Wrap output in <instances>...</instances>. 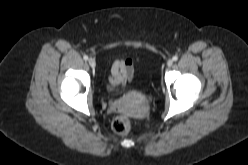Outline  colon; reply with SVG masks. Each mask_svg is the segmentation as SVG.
I'll use <instances>...</instances> for the list:
<instances>
[{
  "mask_svg": "<svg viewBox=\"0 0 248 165\" xmlns=\"http://www.w3.org/2000/svg\"><path fill=\"white\" fill-rule=\"evenodd\" d=\"M113 130L120 135H126L131 130V121L126 115H118L112 122Z\"/></svg>",
  "mask_w": 248,
  "mask_h": 165,
  "instance_id": "obj_1",
  "label": "colon"
}]
</instances>
